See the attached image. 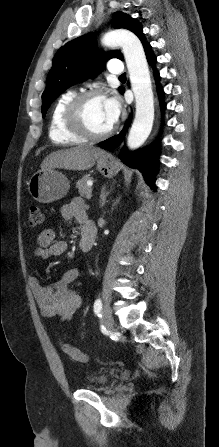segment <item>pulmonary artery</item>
<instances>
[{
  "label": "pulmonary artery",
  "instance_id": "e3ab8cb5",
  "mask_svg": "<svg viewBox=\"0 0 219 447\" xmlns=\"http://www.w3.org/2000/svg\"><path fill=\"white\" fill-rule=\"evenodd\" d=\"M108 70L111 75H121L123 73V65L119 59H111L108 63Z\"/></svg>",
  "mask_w": 219,
  "mask_h": 447
}]
</instances>
